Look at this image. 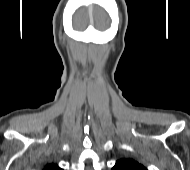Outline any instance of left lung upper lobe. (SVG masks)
<instances>
[{
	"label": "left lung upper lobe",
	"instance_id": "left-lung-upper-lobe-1",
	"mask_svg": "<svg viewBox=\"0 0 190 170\" xmlns=\"http://www.w3.org/2000/svg\"><path fill=\"white\" fill-rule=\"evenodd\" d=\"M112 170H147V168L133 159L122 158L116 161Z\"/></svg>",
	"mask_w": 190,
	"mask_h": 170
}]
</instances>
